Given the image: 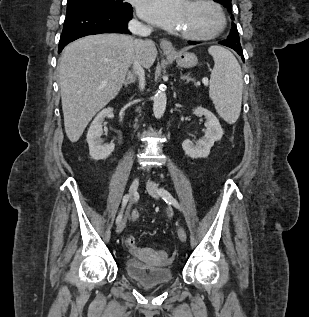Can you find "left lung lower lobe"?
Masks as SVG:
<instances>
[{"instance_id": "0a47b994", "label": "left lung lower lobe", "mask_w": 309, "mask_h": 317, "mask_svg": "<svg viewBox=\"0 0 309 317\" xmlns=\"http://www.w3.org/2000/svg\"><path fill=\"white\" fill-rule=\"evenodd\" d=\"M198 42H191L189 41V44H197ZM219 44H222L224 46H227V47H230L232 49H234L242 58V60L244 61V56L242 54V49H241V45L238 44V43H234L230 40H223V41H220Z\"/></svg>"}]
</instances>
